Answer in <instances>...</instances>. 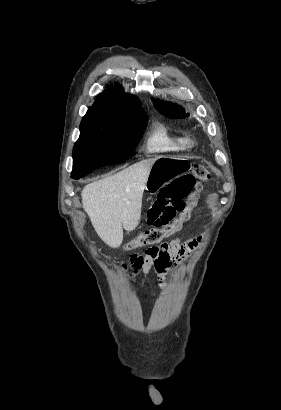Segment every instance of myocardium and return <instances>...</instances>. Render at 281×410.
Segmentation results:
<instances>
[{"label": "myocardium", "mask_w": 281, "mask_h": 410, "mask_svg": "<svg viewBox=\"0 0 281 410\" xmlns=\"http://www.w3.org/2000/svg\"><path fill=\"white\" fill-rule=\"evenodd\" d=\"M186 142H187V146L193 147V146L196 145L197 140H196V138H194L193 136H187V137H186Z\"/></svg>", "instance_id": "f54148a6"}]
</instances>
